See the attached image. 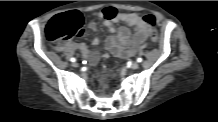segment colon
Listing matches in <instances>:
<instances>
[{
	"instance_id": "1",
	"label": "colon",
	"mask_w": 218,
	"mask_h": 122,
	"mask_svg": "<svg viewBox=\"0 0 218 122\" xmlns=\"http://www.w3.org/2000/svg\"><path fill=\"white\" fill-rule=\"evenodd\" d=\"M113 9V8H108ZM116 11V9H114ZM143 20L150 26H154L156 19L153 15L147 14ZM84 18L79 11H69L53 17L47 27L46 35L51 42H63L83 33ZM153 42H157L156 32L151 34Z\"/></svg>"
}]
</instances>
